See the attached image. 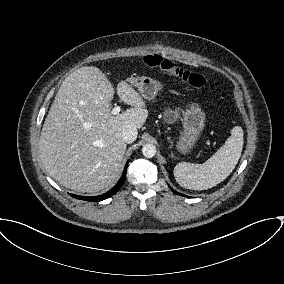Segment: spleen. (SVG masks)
Masks as SVG:
<instances>
[{"label":"spleen","instance_id":"spleen-1","mask_svg":"<svg viewBox=\"0 0 284 284\" xmlns=\"http://www.w3.org/2000/svg\"><path fill=\"white\" fill-rule=\"evenodd\" d=\"M243 143V130L235 126L225 144L203 164L187 162L177 164L174 168L177 183L193 190H205L216 186L235 169Z\"/></svg>","mask_w":284,"mask_h":284}]
</instances>
